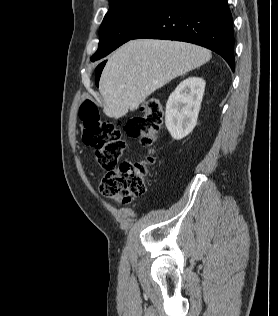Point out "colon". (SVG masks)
Wrapping results in <instances>:
<instances>
[{"instance_id":"1","label":"colon","mask_w":278,"mask_h":316,"mask_svg":"<svg viewBox=\"0 0 278 316\" xmlns=\"http://www.w3.org/2000/svg\"><path fill=\"white\" fill-rule=\"evenodd\" d=\"M82 122L83 142L95 149L98 164L106 170L99 189L103 196L129 203L145 194L147 188V165L153 162L152 155L146 161L122 162L125 142L115 124L101 118L98 108L90 100L84 101L79 109ZM163 119L158 100H146L141 106V115L126 124L130 136L139 137L141 144L154 152Z\"/></svg>"}]
</instances>
